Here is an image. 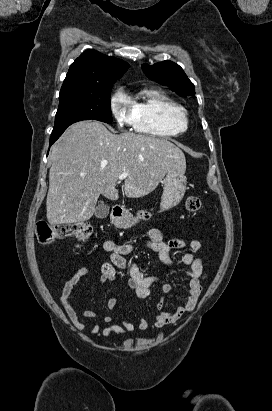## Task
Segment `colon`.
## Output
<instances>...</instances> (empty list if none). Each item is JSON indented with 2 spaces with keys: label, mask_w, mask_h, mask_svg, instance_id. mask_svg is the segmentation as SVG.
Wrapping results in <instances>:
<instances>
[{
  "label": "colon",
  "mask_w": 272,
  "mask_h": 411,
  "mask_svg": "<svg viewBox=\"0 0 272 411\" xmlns=\"http://www.w3.org/2000/svg\"><path fill=\"white\" fill-rule=\"evenodd\" d=\"M201 200L197 196H189L186 199L185 207L188 212L194 213L201 209ZM92 228L84 222H71L64 224H50L46 221H39L36 227V237L39 243L48 245L57 240L65 238H76L80 242H85L91 235Z\"/></svg>",
  "instance_id": "5ec220e1"
}]
</instances>
